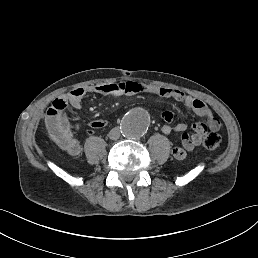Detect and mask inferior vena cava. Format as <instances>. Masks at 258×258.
<instances>
[{
  "label": "inferior vena cava",
  "instance_id": "1",
  "mask_svg": "<svg viewBox=\"0 0 258 258\" xmlns=\"http://www.w3.org/2000/svg\"><path fill=\"white\" fill-rule=\"evenodd\" d=\"M109 137L112 140H117L120 137V129L118 127L113 128L110 132H109Z\"/></svg>",
  "mask_w": 258,
  "mask_h": 258
}]
</instances>
